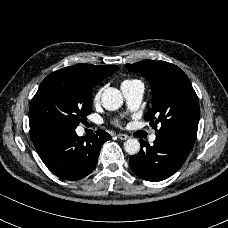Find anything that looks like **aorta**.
<instances>
[{
	"label": "aorta",
	"mask_w": 228,
	"mask_h": 228,
	"mask_svg": "<svg viewBox=\"0 0 228 228\" xmlns=\"http://www.w3.org/2000/svg\"><path fill=\"white\" fill-rule=\"evenodd\" d=\"M123 95L116 88H107L102 94L103 107L107 110L115 111L123 104ZM125 151L131 155L136 154L140 150V142L137 139L130 138L124 144Z\"/></svg>",
	"instance_id": "1"
}]
</instances>
